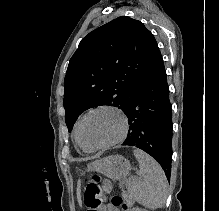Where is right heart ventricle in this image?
Returning <instances> with one entry per match:
<instances>
[{"label":"right heart ventricle","mask_w":219,"mask_h":211,"mask_svg":"<svg viewBox=\"0 0 219 211\" xmlns=\"http://www.w3.org/2000/svg\"><path fill=\"white\" fill-rule=\"evenodd\" d=\"M77 127H78V122L76 123L75 128H74V139H75L76 143L79 144L78 137H77Z\"/></svg>","instance_id":"right-heart-ventricle-1"}]
</instances>
